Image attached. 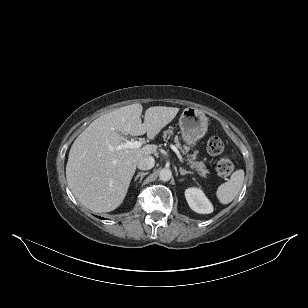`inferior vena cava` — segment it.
<instances>
[{"label": "inferior vena cava", "instance_id": "obj_1", "mask_svg": "<svg viewBox=\"0 0 308 308\" xmlns=\"http://www.w3.org/2000/svg\"><path fill=\"white\" fill-rule=\"evenodd\" d=\"M154 165L155 159L150 155H146L140 158L137 166L140 170H150Z\"/></svg>", "mask_w": 308, "mask_h": 308}]
</instances>
